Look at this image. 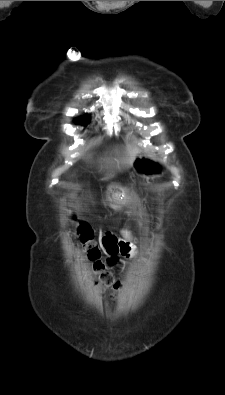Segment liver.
Returning <instances> with one entry per match:
<instances>
[{
	"label": "liver",
	"instance_id": "1",
	"mask_svg": "<svg viewBox=\"0 0 225 395\" xmlns=\"http://www.w3.org/2000/svg\"><path fill=\"white\" fill-rule=\"evenodd\" d=\"M138 149L137 148H127L125 152V156L120 159L122 165L132 166L135 158L137 157ZM118 163L119 161L116 160Z\"/></svg>",
	"mask_w": 225,
	"mask_h": 395
}]
</instances>
